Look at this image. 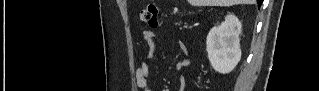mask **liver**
<instances>
[{
	"label": "liver",
	"mask_w": 319,
	"mask_h": 91,
	"mask_svg": "<svg viewBox=\"0 0 319 91\" xmlns=\"http://www.w3.org/2000/svg\"><path fill=\"white\" fill-rule=\"evenodd\" d=\"M193 6H232L237 4H254L255 0H188Z\"/></svg>",
	"instance_id": "obj_1"
}]
</instances>
